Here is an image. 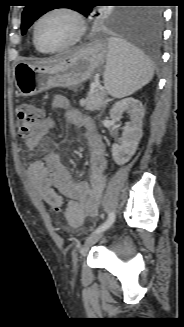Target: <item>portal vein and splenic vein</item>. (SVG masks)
Wrapping results in <instances>:
<instances>
[{
	"mask_svg": "<svg viewBox=\"0 0 184 327\" xmlns=\"http://www.w3.org/2000/svg\"><path fill=\"white\" fill-rule=\"evenodd\" d=\"M99 88V85L94 83L91 85V91H94L95 89H98Z\"/></svg>",
	"mask_w": 184,
	"mask_h": 327,
	"instance_id": "obj_1",
	"label": "portal vein and splenic vein"
}]
</instances>
